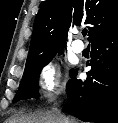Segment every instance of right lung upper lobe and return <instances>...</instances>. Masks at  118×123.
Listing matches in <instances>:
<instances>
[{
	"label": "right lung upper lobe",
	"instance_id": "1",
	"mask_svg": "<svg viewBox=\"0 0 118 123\" xmlns=\"http://www.w3.org/2000/svg\"><path fill=\"white\" fill-rule=\"evenodd\" d=\"M86 25L91 44L118 31V0H48L36 15L26 67L64 49L69 28Z\"/></svg>",
	"mask_w": 118,
	"mask_h": 123
}]
</instances>
